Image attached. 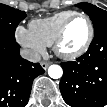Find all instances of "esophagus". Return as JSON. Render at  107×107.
<instances>
[{
  "mask_svg": "<svg viewBox=\"0 0 107 107\" xmlns=\"http://www.w3.org/2000/svg\"><path fill=\"white\" fill-rule=\"evenodd\" d=\"M40 64H41V67L46 70L48 66L51 64V62L42 61Z\"/></svg>",
  "mask_w": 107,
  "mask_h": 107,
  "instance_id": "obj_1",
  "label": "esophagus"
}]
</instances>
